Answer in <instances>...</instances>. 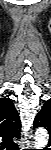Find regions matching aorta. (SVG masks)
Wrapping results in <instances>:
<instances>
[{
    "label": "aorta",
    "instance_id": "aorta-1",
    "mask_svg": "<svg viewBox=\"0 0 51 150\" xmlns=\"http://www.w3.org/2000/svg\"><path fill=\"white\" fill-rule=\"evenodd\" d=\"M49 135L44 128H39L35 132V147L42 148L48 143Z\"/></svg>",
    "mask_w": 51,
    "mask_h": 150
}]
</instances>
